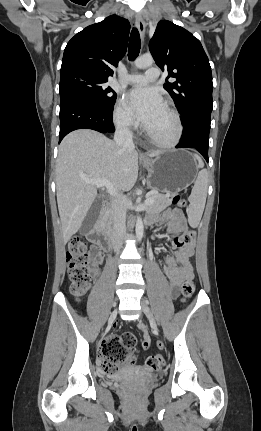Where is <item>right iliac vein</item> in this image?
<instances>
[{"label": "right iliac vein", "mask_w": 261, "mask_h": 431, "mask_svg": "<svg viewBox=\"0 0 261 431\" xmlns=\"http://www.w3.org/2000/svg\"><path fill=\"white\" fill-rule=\"evenodd\" d=\"M116 313H117V311H116V310H114V311H113V313H112V315H111V319L115 318Z\"/></svg>", "instance_id": "63e3f726"}]
</instances>
